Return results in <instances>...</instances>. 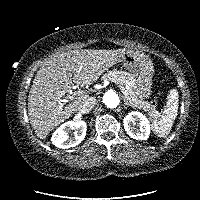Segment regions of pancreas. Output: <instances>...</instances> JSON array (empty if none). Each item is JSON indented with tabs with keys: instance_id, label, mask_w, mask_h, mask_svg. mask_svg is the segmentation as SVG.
Listing matches in <instances>:
<instances>
[{
	"instance_id": "obj_1",
	"label": "pancreas",
	"mask_w": 200,
	"mask_h": 200,
	"mask_svg": "<svg viewBox=\"0 0 200 200\" xmlns=\"http://www.w3.org/2000/svg\"><path fill=\"white\" fill-rule=\"evenodd\" d=\"M103 80H118L121 84L127 86L128 95L132 100V104L139 108L143 109L148 115L152 118H156L158 116V111L156 110L155 106L151 105L149 102L139 100L134 91V78L131 74L125 71H117L112 70L108 71L106 74L103 75Z\"/></svg>"
}]
</instances>
